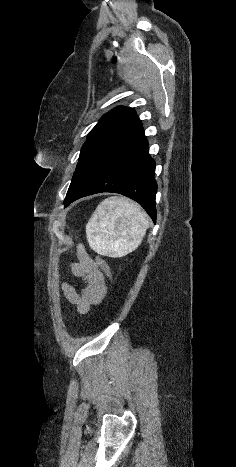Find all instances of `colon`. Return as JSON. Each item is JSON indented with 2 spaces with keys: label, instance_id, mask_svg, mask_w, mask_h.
I'll use <instances>...</instances> for the list:
<instances>
[{
  "label": "colon",
  "instance_id": "1",
  "mask_svg": "<svg viewBox=\"0 0 236 467\" xmlns=\"http://www.w3.org/2000/svg\"><path fill=\"white\" fill-rule=\"evenodd\" d=\"M95 261L97 262V264L99 265V267L101 268L103 273L105 274L106 278L108 280H111L112 279V271H111L110 266L108 265V263L100 256H96Z\"/></svg>",
  "mask_w": 236,
  "mask_h": 467
}]
</instances>
